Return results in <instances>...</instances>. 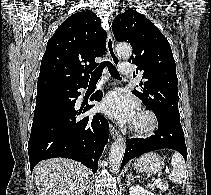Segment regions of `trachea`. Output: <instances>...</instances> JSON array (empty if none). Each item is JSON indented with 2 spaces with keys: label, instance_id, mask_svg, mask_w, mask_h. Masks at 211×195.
Wrapping results in <instances>:
<instances>
[{
  "label": "trachea",
  "instance_id": "obj_1",
  "mask_svg": "<svg viewBox=\"0 0 211 195\" xmlns=\"http://www.w3.org/2000/svg\"><path fill=\"white\" fill-rule=\"evenodd\" d=\"M108 67L109 73L111 74V76L113 78L116 79H121L120 74L118 73V71L116 70L115 66L109 62V61H104L100 64V66L91 74V80H99L101 75H102V71L105 67Z\"/></svg>",
  "mask_w": 211,
  "mask_h": 195
}]
</instances>
